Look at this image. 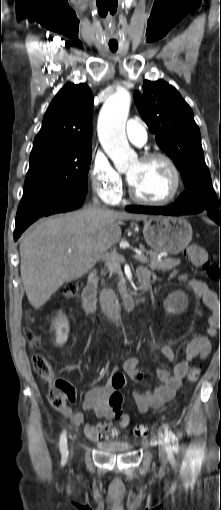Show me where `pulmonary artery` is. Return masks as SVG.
<instances>
[{"label": "pulmonary artery", "instance_id": "obj_1", "mask_svg": "<svg viewBox=\"0 0 221 510\" xmlns=\"http://www.w3.org/2000/svg\"><path fill=\"white\" fill-rule=\"evenodd\" d=\"M126 135L130 142L142 146L147 141V132L144 126L135 119H129L126 125Z\"/></svg>", "mask_w": 221, "mask_h": 510}]
</instances>
